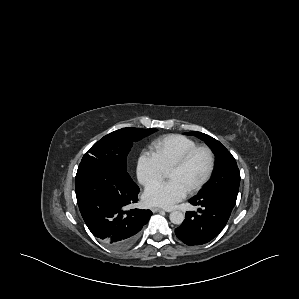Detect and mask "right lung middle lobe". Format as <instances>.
I'll return each mask as SVG.
<instances>
[{
	"label": "right lung middle lobe",
	"mask_w": 299,
	"mask_h": 299,
	"mask_svg": "<svg viewBox=\"0 0 299 299\" xmlns=\"http://www.w3.org/2000/svg\"><path fill=\"white\" fill-rule=\"evenodd\" d=\"M156 129L122 128L116 130L95 143L83 156L78 169L89 165L105 166L120 175L126 181H133L126 171L127 154L133 141L154 133Z\"/></svg>",
	"instance_id": "dd1d6c3e"
}]
</instances>
